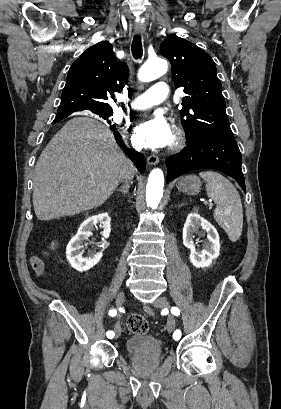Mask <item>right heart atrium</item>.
Here are the masks:
<instances>
[{
	"mask_svg": "<svg viewBox=\"0 0 281 409\" xmlns=\"http://www.w3.org/2000/svg\"><path fill=\"white\" fill-rule=\"evenodd\" d=\"M127 130H128V127L123 129V136L125 139L127 138V132H128ZM130 143L134 148H137V149L139 148V145L132 137L130 138Z\"/></svg>",
	"mask_w": 281,
	"mask_h": 409,
	"instance_id": "obj_1",
	"label": "right heart atrium"
}]
</instances>
